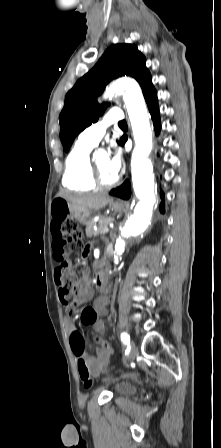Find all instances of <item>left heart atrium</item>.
I'll use <instances>...</instances> for the list:
<instances>
[{
	"instance_id": "obj_1",
	"label": "left heart atrium",
	"mask_w": 221,
	"mask_h": 448,
	"mask_svg": "<svg viewBox=\"0 0 221 448\" xmlns=\"http://www.w3.org/2000/svg\"><path fill=\"white\" fill-rule=\"evenodd\" d=\"M122 168V155L115 151L108 159V170L116 178Z\"/></svg>"
}]
</instances>
